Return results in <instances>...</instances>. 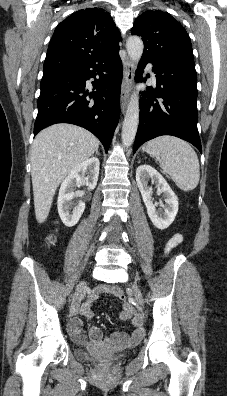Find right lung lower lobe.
<instances>
[{
	"mask_svg": "<svg viewBox=\"0 0 227 396\" xmlns=\"http://www.w3.org/2000/svg\"><path fill=\"white\" fill-rule=\"evenodd\" d=\"M118 51L83 64L44 71L34 136L52 124H75L92 132L108 151L120 115L123 69ZM97 75L99 79L92 82L89 93L85 82Z\"/></svg>",
	"mask_w": 227,
	"mask_h": 396,
	"instance_id": "obj_1",
	"label": "right lung lower lobe"
}]
</instances>
